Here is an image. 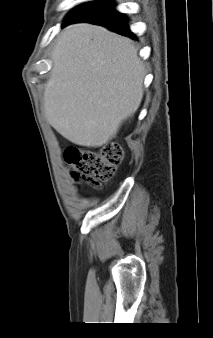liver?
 Instances as JSON below:
<instances>
[{
	"mask_svg": "<svg viewBox=\"0 0 213 338\" xmlns=\"http://www.w3.org/2000/svg\"><path fill=\"white\" fill-rule=\"evenodd\" d=\"M44 86L48 123L70 142L100 147L140 106L145 68L126 37L87 23L66 27Z\"/></svg>",
	"mask_w": 213,
	"mask_h": 338,
	"instance_id": "obj_1",
	"label": "liver"
}]
</instances>
